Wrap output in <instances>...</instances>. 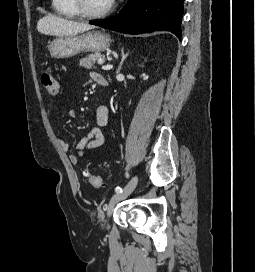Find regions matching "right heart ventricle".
<instances>
[{"label":"right heart ventricle","mask_w":255,"mask_h":272,"mask_svg":"<svg viewBox=\"0 0 255 272\" xmlns=\"http://www.w3.org/2000/svg\"><path fill=\"white\" fill-rule=\"evenodd\" d=\"M51 7L56 14L64 17L76 18L79 16L72 0H51Z\"/></svg>","instance_id":"1"}]
</instances>
